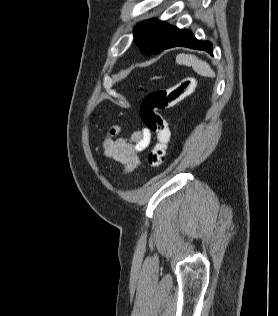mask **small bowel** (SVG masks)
Segmentation results:
<instances>
[{
  "label": "small bowel",
  "mask_w": 278,
  "mask_h": 316,
  "mask_svg": "<svg viewBox=\"0 0 278 316\" xmlns=\"http://www.w3.org/2000/svg\"><path fill=\"white\" fill-rule=\"evenodd\" d=\"M119 133V126L110 128L102 144L103 153L107 160L121 168V172L129 173L138 166L139 153L149 146L151 132L143 128L132 132L129 138L120 137Z\"/></svg>",
  "instance_id": "small-bowel-1"
}]
</instances>
